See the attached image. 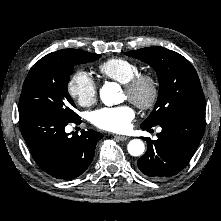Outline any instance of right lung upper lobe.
I'll list each match as a JSON object with an SVG mask.
<instances>
[{
  "instance_id": "obj_1",
  "label": "right lung upper lobe",
  "mask_w": 221,
  "mask_h": 221,
  "mask_svg": "<svg viewBox=\"0 0 221 221\" xmlns=\"http://www.w3.org/2000/svg\"><path fill=\"white\" fill-rule=\"evenodd\" d=\"M69 49H64V50H59V51H56V52H53V53H50V54H61V53H64L66 51H68Z\"/></svg>"
}]
</instances>
